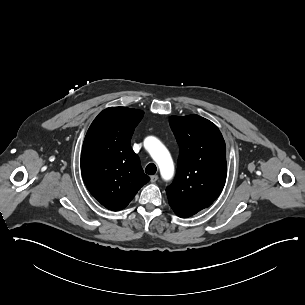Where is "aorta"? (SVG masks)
I'll return each mask as SVG.
<instances>
[{"instance_id": "762f6f07", "label": "aorta", "mask_w": 305, "mask_h": 305, "mask_svg": "<svg viewBox=\"0 0 305 305\" xmlns=\"http://www.w3.org/2000/svg\"><path fill=\"white\" fill-rule=\"evenodd\" d=\"M144 146L158 164L162 178L170 180L174 175V164L167 148L155 137L146 138Z\"/></svg>"}]
</instances>
